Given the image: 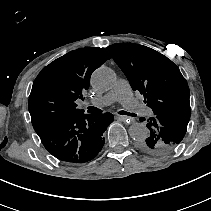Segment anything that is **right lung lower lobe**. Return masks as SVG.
Listing matches in <instances>:
<instances>
[{"label": "right lung lower lobe", "mask_w": 211, "mask_h": 211, "mask_svg": "<svg viewBox=\"0 0 211 211\" xmlns=\"http://www.w3.org/2000/svg\"><path fill=\"white\" fill-rule=\"evenodd\" d=\"M111 113L78 114L37 130L47 151L57 159L72 164L92 160L102 149L103 133L113 122Z\"/></svg>", "instance_id": "1"}]
</instances>
